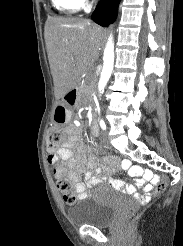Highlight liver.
Returning <instances> with one entry per match:
<instances>
[{
    "label": "liver",
    "mask_w": 183,
    "mask_h": 246,
    "mask_svg": "<svg viewBox=\"0 0 183 246\" xmlns=\"http://www.w3.org/2000/svg\"><path fill=\"white\" fill-rule=\"evenodd\" d=\"M103 39V30L88 20L50 17L46 23V47L55 98H62L90 68Z\"/></svg>",
    "instance_id": "liver-1"
}]
</instances>
